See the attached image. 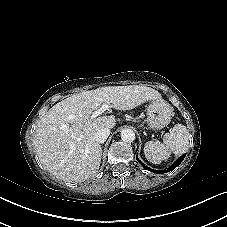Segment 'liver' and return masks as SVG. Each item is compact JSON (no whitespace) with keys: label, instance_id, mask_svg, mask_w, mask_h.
Listing matches in <instances>:
<instances>
[{"label":"liver","instance_id":"6515ba94","mask_svg":"<svg viewBox=\"0 0 227 227\" xmlns=\"http://www.w3.org/2000/svg\"><path fill=\"white\" fill-rule=\"evenodd\" d=\"M161 94L146 86L104 87L74 94L55 104L37 124L33 143L44 169L66 182H82L100 167L102 147L94 134L114 128L113 115L91 118L106 104L116 110H131Z\"/></svg>","mask_w":227,"mask_h":227}]
</instances>
